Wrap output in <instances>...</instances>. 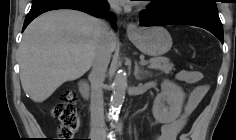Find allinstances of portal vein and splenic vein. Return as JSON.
Instances as JSON below:
<instances>
[{"mask_svg":"<svg viewBox=\"0 0 236 140\" xmlns=\"http://www.w3.org/2000/svg\"><path fill=\"white\" fill-rule=\"evenodd\" d=\"M140 64H141V65H146V64H148V62H147L146 60H144V59H141V60H140Z\"/></svg>","mask_w":236,"mask_h":140,"instance_id":"portal-vein-and-splenic-vein-1","label":"portal vein and splenic vein"}]
</instances>
